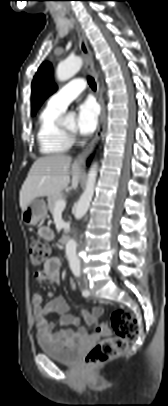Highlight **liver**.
Returning a JSON list of instances; mask_svg holds the SVG:
<instances>
[{
    "instance_id": "1",
    "label": "liver",
    "mask_w": 168,
    "mask_h": 406,
    "mask_svg": "<svg viewBox=\"0 0 168 406\" xmlns=\"http://www.w3.org/2000/svg\"><path fill=\"white\" fill-rule=\"evenodd\" d=\"M71 160L70 156L56 154L40 157L33 163L20 190L22 211L38 197L61 194L69 183L72 189H77L81 168L76 162L71 165Z\"/></svg>"
}]
</instances>
